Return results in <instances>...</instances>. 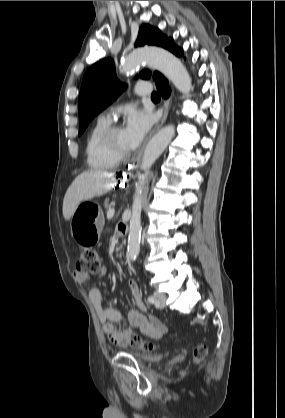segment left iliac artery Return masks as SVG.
Returning a JSON list of instances; mask_svg holds the SVG:
<instances>
[{
	"instance_id": "44dca946",
	"label": "left iliac artery",
	"mask_w": 285,
	"mask_h": 418,
	"mask_svg": "<svg viewBox=\"0 0 285 418\" xmlns=\"http://www.w3.org/2000/svg\"><path fill=\"white\" fill-rule=\"evenodd\" d=\"M147 302L153 304L155 302V298L153 296H148Z\"/></svg>"
}]
</instances>
